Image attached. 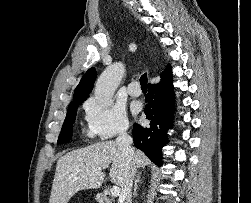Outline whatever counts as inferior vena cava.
Wrapping results in <instances>:
<instances>
[{
	"label": "inferior vena cava",
	"instance_id": "1",
	"mask_svg": "<svg viewBox=\"0 0 251 203\" xmlns=\"http://www.w3.org/2000/svg\"><path fill=\"white\" fill-rule=\"evenodd\" d=\"M129 128L128 124H125L116 139V144L120 151L122 152L127 172L124 178V183L120 193L119 201L120 203H132V184L134 176L136 174V166L133 162L134 151L131 148L132 138L128 135L127 130Z\"/></svg>",
	"mask_w": 251,
	"mask_h": 203
}]
</instances>
